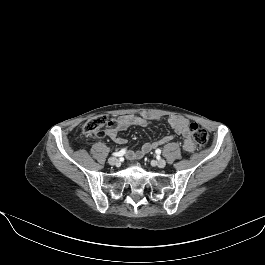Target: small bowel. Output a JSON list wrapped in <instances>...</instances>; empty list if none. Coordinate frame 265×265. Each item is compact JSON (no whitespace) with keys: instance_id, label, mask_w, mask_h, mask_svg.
<instances>
[{"instance_id":"c3829d8e","label":"small bowel","mask_w":265,"mask_h":265,"mask_svg":"<svg viewBox=\"0 0 265 265\" xmlns=\"http://www.w3.org/2000/svg\"><path fill=\"white\" fill-rule=\"evenodd\" d=\"M158 119V115L146 112L140 114L121 115L114 121L112 126L106 130L105 134L115 143L123 145L126 143V139L119 136V132L133 126L147 127L151 122H155ZM168 123L170 127L182 137L183 149L189 153L194 152L196 146L189 129L190 121L181 115H172L169 117ZM171 140L172 136L166 135L153 142L144 143L138 150H127L124 152V154L129 159H141L152 149L167 144Z\"/></svg>"}]
</instances>
